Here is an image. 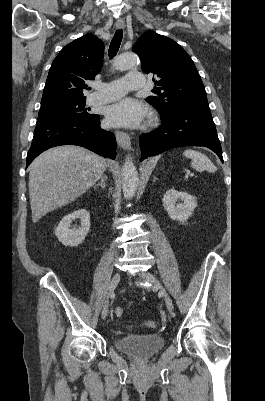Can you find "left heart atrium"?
<instances>
[{"label":"left heart atrium","mask_w":265,"mask_h":401,"mask_svg":"<svg viewBox=\"0 0 265 401\" xmlns=\"http://www.w3.org/2000/svg\"><path fill=\"white\" fill-rule=\"evenodd\" d=\"M146 115V108L131 98L117 101L106 110V120L113 126H136L144 120Z\"/></svg>","instance_id":"1"}]
</instances>
